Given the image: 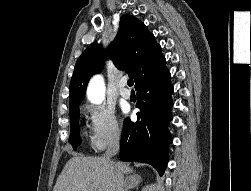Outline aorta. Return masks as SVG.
Wrapping results in <instances>:
<instances>
[{
	"label": "aorta",
	"instance_id": "aorta-1",
	"mask_svg": "<svg viewBox=\"0 0 251 191\" xmlns=\"http://www.w3.org/2000/svg\"><path fill=\"white\" fill-rule=\"evenodd\" d=\"M86 94L91 103H101L105 94V86L101 76H94V78H91Z\"/></svg>",
	"mask_w": 251,
	"mask_h": 191
}]
</instances>
